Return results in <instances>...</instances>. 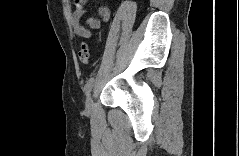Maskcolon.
Here are the masks:
<instances>
[{
	"label": "colon",
	"mask_w": 239,
	"mask_h": 156,
	"mask_svg": "<svg viewBox=\"0 0 239 156\" xmlns=\"http://www.w3.org/2000/svg\"><path fill=\"white\" fill-rule=\"evenodd\" d=\"M78 55H79V59L82 63L88 64L90 62V50H89V46L86 42H83L81 44Z\"/></svg>",
	"instance_id": "5ec220e1"
}]
</instances>
